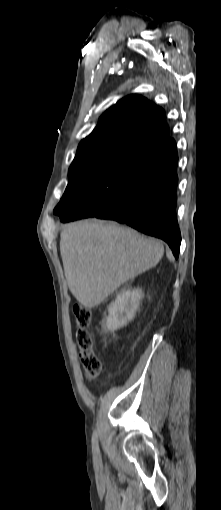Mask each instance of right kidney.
<instances>
[{
	"mask_svg": "<svg viewBox=\"0 0 221 510\" xmlns=\"http://www.w3.org/2000/svg\"><path fill=\"white\" fill-rule=\"evenodd\" d=\"M143 295L140 288L122 290L108 307L105 320L108 330L115 331L132 320Z\"/></svg>",
	"mask_w": 221,
	"mask_h": 510,
	"instance_id": "obj_1",
	"label": "right kidney"
}]
</instances>
